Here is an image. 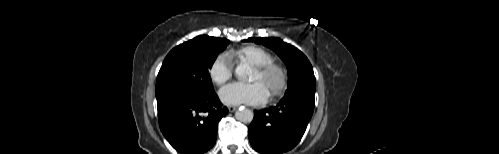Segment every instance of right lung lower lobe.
<instances>
[{"mask_svg":"<svg viewBox=\"0 0 499 154\" xmlns=\"http://www.w3.org/2000/svg\"><path fill=\"white\" fill-rule=\"evenodd\" d=\"M160 129L181 154H202L216 142L219 120L228 113L215 92L173 93L157 99Z\"/></svg>","mask_w":499,"mask_h":154,"instance_id":"right-lung-lower-lobe-1","label":"right lung lower lobe"}]
</instances>
